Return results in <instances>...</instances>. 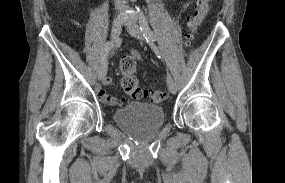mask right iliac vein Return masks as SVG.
<instances>
[{"instance_id":"right-iliac-vein-1","label":"right iliac vein","mask_w":285,"mask_h":183,"mask_svg":"<svg viewBox=\"0 0 285 183\" xmlns=\"http://www.w3.org/2000/svg\"><path fill=\"white\" fill-rule=\"evenodd\" d=\"M122 30V20L121 19H117L114 21L112 27H111V37L113 40H116ZM107 73V62L103 63L100 68L97 71V76L98 79H103L106 76Z\"/></svg>"}]
</instances>
